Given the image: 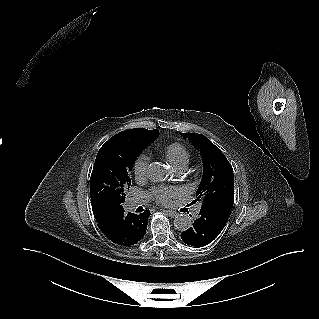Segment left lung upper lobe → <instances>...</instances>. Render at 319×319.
<instances>
[{"label": "left lung upper lobe", "mask_w": 319, "mask_h": 319, "mask_svg": "<svg viewBox=\"0 0 319 319\" xmlns=\"http://www.w3.org/2000/svg\"><path fill=\"white\" fill-rule=\"evenodd\" d=\"M200 152L203 176L196 192L202 206L234 202L233 168L222 151L207 137L197 133H180Z\"/></svg>", "instance_id": "5c2ea615"}]
</instances>
